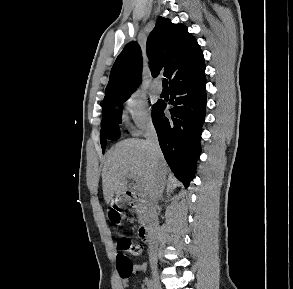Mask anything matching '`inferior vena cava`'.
I'll return each instance as SVG.
<instances>
[{
    "label": "inferior vena cava",
    "instance_id": "1",
    "mask_svg": "<svg viewBox=\"0 0 293 289\" xmlns=\"http://www.w3.org/2000/svg\"><path fill=\"white\" fill-rule=\"evenodd\" d=\"M146 142L152 150L153 154L161 155L162 152L159 147L158 137L156 130L152 123L147 124L145 129ZM166 183L165 177L162 173H158L156 179L153 181L151 188L149 189V202H148V214L150 218V230L151 238L149 240V257L152 261H157V230H158V218L156 213V207L158 200L162 194Z\"/></svg>",
    "mask_w": 293,
    "mask_h": 289
}]
</instances>
